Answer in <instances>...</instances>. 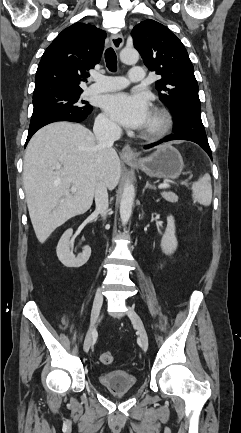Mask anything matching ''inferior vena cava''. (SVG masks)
Returning a JSON list of instances; mask_svg holds the SVG:
<instances>
[{
    "mask_svg": "<svg viewBox=\"0 0 241 433\" xmlns=\"http://www.w3.org/2000/svg\"><path fill=\"white\" fill-rule=\"evenodd\" d=\"M97 143L100 147H112L113 143L121 136V128L110 121L96 122L93 127ZM95 204L96 211L99 212L103 218L106 217L108 211V193L107 187L102 180H99L95 189Z\"/></svg>",
    "mask_w": 241,
    "mask_h": 433,
    "instance_id": "602c4592",
    "label": "inferior vena cava"
}]
</instances>
